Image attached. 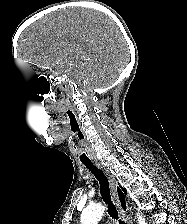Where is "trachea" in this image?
<instances>
[{"mask_svg": "<svg viewBox=\"0 0 187 224\" xmlns=\"http://www.w3.org/2000/svg\"><path fill=\"white\" fill-rule=\"evenodd\" d=\"M86 168L95 176L97 181L100 185V194L102 196V199L107 204L108 207V214L113 219H118V212L115 208V206L111 202V195H110V189H109V182L106 177V175L92 162H82ZM120 224H125L124 221H119Z\"/></svg>", "mask_w": 187, "mask_h": 224, "instance_id": "obj_1", "label": "trachea"}]
</instances>
